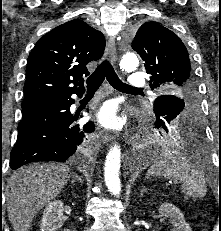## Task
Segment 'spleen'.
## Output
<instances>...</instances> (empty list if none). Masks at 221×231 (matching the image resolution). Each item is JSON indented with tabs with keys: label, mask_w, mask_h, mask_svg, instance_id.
<instances>
[{
	"label": "spleen",
	"mask_w": 221,
	"mask_h": 231,
	"mask_svg": "<svg viewBox=\"0 0 221 231\" xmlns=\"http://www.w3.org/2000/svg\"><path fill=\"white\" fill-rule=\"evenodd\" d=\"M148 176H163L182 182V191L193 198L204 197L207 187L203 173L186 157L167 154L154 161L147 171Z\"/></svg>",
	"instance_id": "3e777b00"
}]
</instances>
